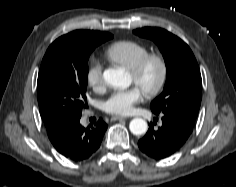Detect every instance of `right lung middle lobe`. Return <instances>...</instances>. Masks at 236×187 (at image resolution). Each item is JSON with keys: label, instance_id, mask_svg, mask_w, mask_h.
I'll return each mask as SVG.
<instances>
[{"label": "right lung middle lobe", "instance_id": "right-lung-middle-lobe-1", "mask_svg": "<svg viewBox=\"0 0 236 187\" xmlns=\"http://www.w3.org/2000/svg\"><path fill=\"white\" fill-rule=\"evenodd\" d=\"M112 35L82 41L60 37L47 49L39 70L37 97L45 124L69 126L85 107L88 59L91 52Z\"/></svg>", "mask_w": 236, "mask_h": 187}]
</instances>
